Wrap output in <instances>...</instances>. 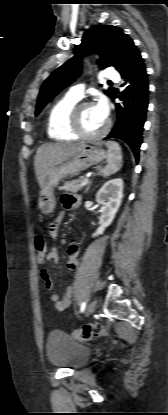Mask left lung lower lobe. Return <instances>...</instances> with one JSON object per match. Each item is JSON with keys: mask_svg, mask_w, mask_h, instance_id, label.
<instances>
[{"mask_svg": "<svg viewBox=\"0 0 168 415\" xmlns=\"http://www.w3.org/2000/svg\"><path fill=\"white\" fill-rule=\"evenodd\" d=\"M120 74L124 80V90L121 93L115 90L111 99L119 98L122 103L115 105L117 121L104 139L116 138L125 141L138 161L149 95L148 75L140 53Z\"/></svg>", "mask_w": 168, "mask_h": 415, "instance_id": "left-lung-lower-lobe-1", "label": "left lung lower lobe"}]
</instances>
